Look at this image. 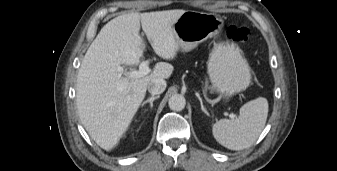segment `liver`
I'll list each match as a JSON object with an SVG mask.
<instances>
[{
    "label": "liver",
    "instance_id": "obj_1",
    "mask_svg": "<svg viewBox=\"0 0 337 171\" xmlns=\"http://www.w3.org/2000/svg\"><path fill=\"white\" fill-rule=\"evenodd\" d=\"M183 9L128 13L118 16L98 33L88 48L77 76L76 102L80 120L95 142L112 150L127 131L143 101L148 83L167 79L174 68L159 62L149 75L131 78L122 75L118 66L140 62L146 44L140 26L155 53L172 60L179 50L173 30Z\"/></svg>",
    "mask_w": 337,
    "mask_h": 171
}]
</instances>
